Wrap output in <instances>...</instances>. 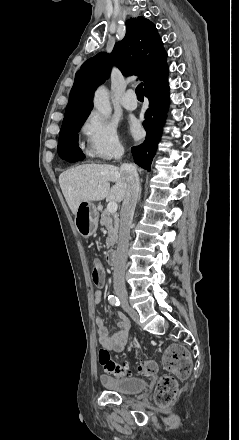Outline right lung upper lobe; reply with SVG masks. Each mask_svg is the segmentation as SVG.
I'll list each match as a JSON object with an SVG mask.
<instances>
[{
    "instance_id": "obj_1",
    "label": "right lung upper lobe",
    "mask_w": 239,
    "mask_h": 440,
    "mask_svg": "<svg viewBox=\"0 0 239 440\" xmlns=\"http://www.w3.org/2000/svg\"><path fill=\"white\" fill-rule=\"evenodd\" d=\"M126 27L124 39L115 44L111 55L97 54L76 73L63 123L90 113L91 97L108 78L113 64L125 76L139 75L144 84L167 67V53L152 22L144 17L131 18Z\"/></svg>"
}]
</instances>
